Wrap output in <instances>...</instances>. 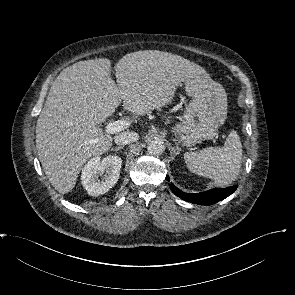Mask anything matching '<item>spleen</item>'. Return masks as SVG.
Listing matches in <instances>:
<instances>
[{
    "instance_id": "3e777b00",
    "label": "spleen",
    "mask_w": 295,
    "mask_h": 295,
    "mask_svg": "<svg viewBox=\"0 0 295 295\" xmlns=\"http://www.w3.org/2000/svg\"><path fill=\"white\" fill-rule=\"evenodd\" d=\"M188 169L210 178L218 186L232 183L238 176L242 163V145L236 131H231L222 147H208L198 152H186Z\"/></svg>"
}]
</instances>
